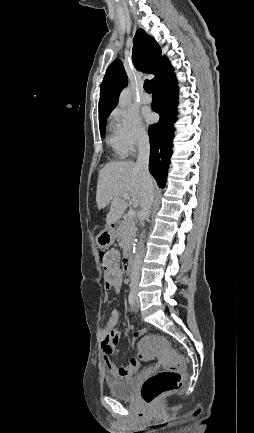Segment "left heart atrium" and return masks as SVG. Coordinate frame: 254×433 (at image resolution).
<instances>
[{
    "mask_svg": "<svg viewBox=\"0 0 254 433\" xmlns=\"http://www.w3.org/2000/svg\"><path fill=\"white\" fill-rule=\"evenodd\" d=\"M145 119L148 123L153 122V115L150 113H145Z\"/></svg>",
    "mask_w": 254,
    "mask_h": 433,
    "instance_id": "1",
    "label": "left heart atrium"
}]
</instances>
